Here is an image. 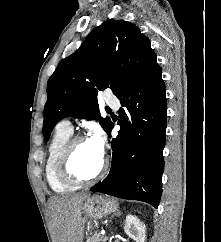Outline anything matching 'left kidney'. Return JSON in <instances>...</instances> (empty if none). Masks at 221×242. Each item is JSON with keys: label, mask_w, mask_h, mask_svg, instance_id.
I'll return each instance as SVG.
<instances>
[{"label": "left kidney", "mask_w": 221, "mask_h": 242, "mask_svg": "<svg viewBox=\"0 0 221 242\" xmlns=\"http://www.w3.org/2000/svg\"><path fill=\"white\" fill-rule=\"evenodd\" d=\"M125 233L136 242H145L146 240V227L134 215H128L124 225Z\"/></svg>", "instance_id": "1"}]
</instances>
